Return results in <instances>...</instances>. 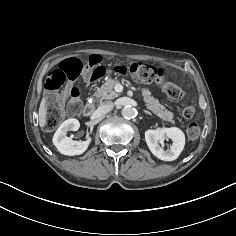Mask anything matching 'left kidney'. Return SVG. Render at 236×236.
<instances>
[{
    "label": "left kidney",
    "instance_id": "left-kidney-1",
    "mask_svg": "<svg viewBox=\"0 0 236 236\" xmlns=\"http://www.w3.org/2000/svg\"><path fill=\"white\" fill-rule=\"evenodd\" d=\"M165 138L172 140V144L167 150H164L159 144ZM145 140L151 153L163 161L177 159L185 145V135L176 127L149 129L145 132Z\"/></svg>",
    "mask_w": 236,
    "mask_h": 236
}]
</instances>
